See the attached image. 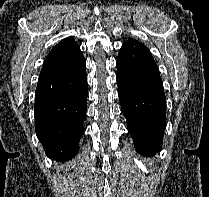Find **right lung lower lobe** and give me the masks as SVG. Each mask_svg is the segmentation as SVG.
<instances>
[{
	"label": "right lung lower lobe",
	"mask_w": 209,
	"mask_h": 197,
	"mask_svg": "<svg viewBox=\"0 0 209 197\" xmlns=\"http://www.w3.org/2000/svg\"><path fill=\"white\" fill-rule=\"evenodd\" d=\"M86 61L79 50L58 68L39 76L36 134L49 158L68 160L79 150L87 100Z\"/></svg>",
	"instance_id": "right-lung-lower-lobe-1"
}]
</instances>
